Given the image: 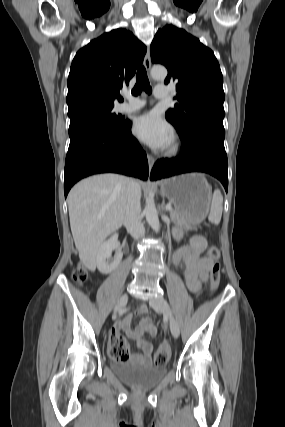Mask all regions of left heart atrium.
Returning <instances> with one entry per match:
<instances>
[{
    "instance_id": "obj_1",
    "label": "left heart atrium",
    "mask_w": 285,
    "mask_h": 427,
    "mask_svg": "<svg viewBox=\"0 0 285 427\" xmlns=\"http://www.w3.org/2000/svg\"><path fill=\"white\" fill-rule=\"evenodd\" d=\"M135 135L154 149H165L173 140V130L157 113L139 116L133 125Z\"/></svg>"
}]
</instances>
